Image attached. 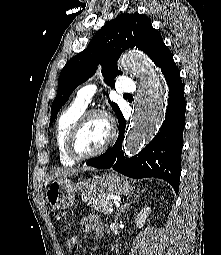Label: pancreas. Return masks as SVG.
Wrapping results in <instances>:
<instances>
[{"mask_svg":"<svg viewBox=\"0 0 221 255\" xmlns=\"http://www.w3.org/2000/svg\"><path fill=\"white\" fill-rule=\"evenodd\" d=\"M86 204L91 206L94 210H97L105 215L111 213L109 208L113 206L111 195L106 193L97 194L90 197L88 200H86Z\"/></svg>","mask_w":221,"mask_h":255,"instance_id":"pancreas-1","label":"pancreas"}]
</instances>
